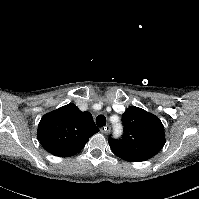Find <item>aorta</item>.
Returning <instances> with one entry per match:
<instances>
[{"instance_id": "obj_1", "label": "aorta", "mask_w": 199, "mask_h": 199, "mask_svg": "<svg viewBox=\"0 0 199 199\" xmlns=\"http://www.w3.org/2000/svg\"><path fill=\"white\" fill-rule=\"evenodd\" d=\"M121 131H122V126L119 123V120L117 118V120L114 123V134H115V136H119L121 134Z\"/></svg>"}]
</instances>
